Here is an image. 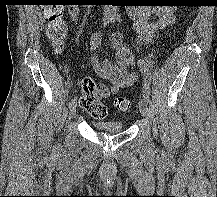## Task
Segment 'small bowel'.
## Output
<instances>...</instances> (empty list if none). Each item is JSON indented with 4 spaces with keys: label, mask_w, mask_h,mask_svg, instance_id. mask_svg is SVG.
Masks as SVG:
<instances>
[{
    "label": "small bowel",
    "mask_w": 217,
    "mask_h": 197,
    "mask_svg": "<svg viewBox=\"0 0 217 197\" xmlns=\"http://www.w3.org/2000/svg\"><path fill=\"white\" fill-rule=\"evenodd\" d=\"M79 7L75 4L69 6V18L77 20ZM130 16L134 19L135 29L139 35L137 44L151 42L154 35L174 23V9L170 5H160L147 9L143 7H132L129 9ZM102 44V36L94 32L90 38L91 57L90 61L95 73L102 79L111 83L107 95L116 94L121 89L132 86L138 80L135 71V57L133 51L124 43L123 36L116 33L110 38V45L113 49V56L105 58L100 63L97 51Z\"/></svg>",
    "instance_id": "1"
}]
</instances>
